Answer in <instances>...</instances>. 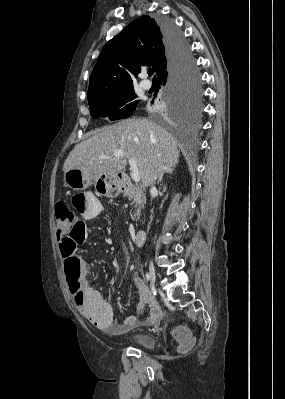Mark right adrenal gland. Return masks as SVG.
Wrapping results in <instances>:
<instances>
[{"label": "right adrenal gland", "instance_id": "2a0ac1e0", "mask_svg": "<svg viewBox=\"0 0 285 399\" xmlns=\"http://www.w3.org/2000/svg\"><path fill=\"white\" fill-rule=\"evenodd\" d=\"M174 169H175V166H171V167L165 169L164 172L159 176L157 183H160L162 181L164 174H172Z\"/></svg>", "mask_w": 285, "mask_h": 399}]
</instances>
